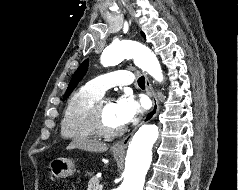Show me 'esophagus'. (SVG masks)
I'll return each mask as SVG.
<instances>
[{"mask_svg":"<svg viewBox=\"0 0 238 190\" xmlns=\"http://www.w3.org/2000/svg\"><path fill=\"white\" fill-rule=\"evenodd\" d=\"M145 76V86H146V91L147 94L151 97L152 99V108L151 110L147 113L145 116L144 120L142 121L141 124L148 123L152 119H154L159 111V100L157 98V95L152 87V84L146 74ZM133 135V132L127 135L125 138H123L121 141L117 142L116 144L113 145L112 149L117 152H124L128 143L130 142V139Z\"/></svg>","mask_w":238,"mask_h":190,"instance_id":"obj_1","label":"esophagus"}]
</instances>
